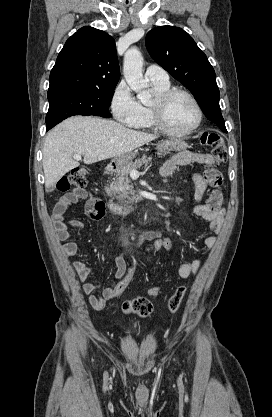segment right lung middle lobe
I'll list each match as a JSON object with an SVG mask.
<instances>
[{"label":"right lung middle lobe","instance_id":"1","mask_svg":"<svg viewBox=\"0 0 272 417\" xmlns=\"http://www.w3.org/2000/svg\"><path fill=\"white\" fill-rule=\"evenodd\" d=\"M114 88L48 92L47 130L74 115H93L109 118L108 108L111 105Z\"/></svg>","mask_w":272,"mask_h":417}]
</instances>
